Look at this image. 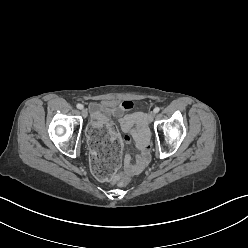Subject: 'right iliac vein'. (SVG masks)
Listing matches in <instances>:
<instances>
[{"label":"right iliac vein","mask_w":248,"mask_h":248,"mask_svg":"<svg viewBox=\"0 0 248 248\" xmlns=\"http://www.w3.org/2000/svg\"><path fill=\"white\" fill-rule=\"evenodd\" d=\"M82 116L86 118L88 116V112L86 109H82Z\"/></svg>","instance_id":"right-iliac-vein-1"}]
</instances>
